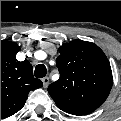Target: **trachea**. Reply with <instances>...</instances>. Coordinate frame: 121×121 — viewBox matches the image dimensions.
<instances>
[{
  "mask_svg": "<svg viewBox=\"0 0 121 121\" xmlns=\"http://www.w3.org/2000/svg\"><path fill=\"white\" fill-rule=\"evenodd\" d=\"M47 73V69L45 65L38 64L35 68V77L37 78H43Z\"/></svg>",
  "mask_w": 121,
  "mask_h": 121,
  "instance_id": "obj_1",
  "label": "trachea"
}]
</instances>
